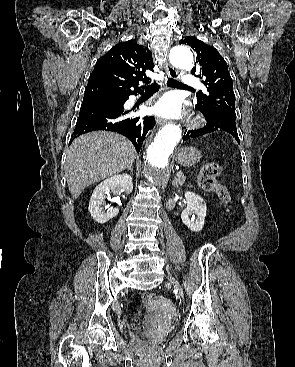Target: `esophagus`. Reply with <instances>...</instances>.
<instances>
[{
    "instance_id": "34e87169",
    "label": "esophagus",
    "mask_w": 295,
    "mask_h": 367,
    "mask_svg": "<svg viewBox=\"0 0 295 367\" xmlns=\"http://www.w3.org/2000/svg\"><path fill=\"white\" fill-rule=\"evenodd\" d=\"M165 69H166V73L167 75L170 77V78H177L178 76V71L173 68L171 65H169L168 63L165 64ZM156 122L158 125H163L165 124L167 121L165 119H162V118H159L157 117L156 118Z\"/></svg>"
}]
</instances>
